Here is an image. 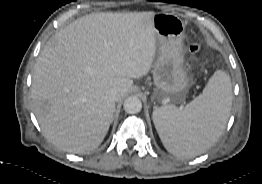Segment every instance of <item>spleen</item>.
<instances>
[{"label": "spleen", "mask_w": 262, "mask_h": 184, "mask_svg": "<svg viewBox=\"0 0 262 184\" xmlns=\"http://www.w3.org/2000/svg\"><path fill=\"white\" fill-rule=\"evenodd\" d=\"M231 106L230 77L217 70L203 92L184 109L165 105L155 108L152 118L166 150L176 157L190 159L219 139L229 119Z\"/></svg>", "instance_id": "obj_1"}]
</instances>
